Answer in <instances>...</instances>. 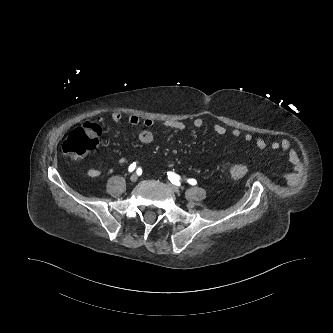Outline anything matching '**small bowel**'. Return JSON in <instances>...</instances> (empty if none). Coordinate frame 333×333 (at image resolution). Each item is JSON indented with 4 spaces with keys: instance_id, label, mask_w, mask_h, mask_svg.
<instances>
[{
    "instance_id": "small-bowel-1",
    "label": "small bowel",
    "mask_w": 333,
    "mask_h": 333,
    "mask_svg": "<svg viewBox=\"0 0 333 333\" xmlns=\"http://www.w3.org/2000/svg\"><path fill=\"white\" fill-rule=\"evenodd\" d=\"M121 118L122 115L119 112H114L110 116L112 122H119ZM128 121L131 125H138L140 123L143 125L144 129L138 135L140 143L147 145L153 141L154 134L152 131V127L155 123L153 119L147 117L141 120L138 116L132 115L129 117ZM203 123L204 122L201 117H196L193 120V127L195 129H200L203 126ZM165 127L169 130L182 131L186 128V124L182 121H167L165 123ZM213 130L218 135H224L227 132V129L220 124L214 125ZM231 134L233 137L237 138L241 136V131L235 128L231 131ZM244 140L247 142L252 141L253 136L250 133H246L244 135ZM255 143L260 149H264L267 146L266 141L260 137L255 139ZM270 146L273 150H281L285 154L289 163L292 164L293 172L289 174L288 178L290 181H293L296 178L297 174L301 171V160L294 148L292 147L290 141L287 138H283L280 141L272 142ZM86 172L87 175L91 178H98L102 175L101 170L92 167L88 168Z\"/></svg>"
}]
</instances>
